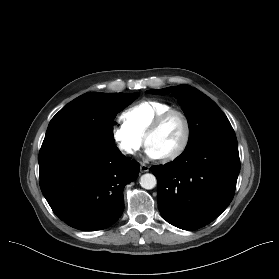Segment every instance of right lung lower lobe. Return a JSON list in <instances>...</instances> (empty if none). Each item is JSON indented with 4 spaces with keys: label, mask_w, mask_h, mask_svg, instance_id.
Instances as JSON below:
<instances>
[{
    "label": "right lung lower lobe",
    "mask_w": 279,
    "mask_h": 279,
    "mask_svg": "<svg viewBox=\"0 0 279 279\" xmlns=\"http://www.w3.org/2000/svg\"><path fill=\"white\" fill-rule=\"evenodd\" d=\"M41 191L59 219L85 231L113 225L124 209L123 189L139 163L113 144L76 131L46 137L39 156Z\"/></svg>",
    "instance_id": "1"
}]
</instances>
